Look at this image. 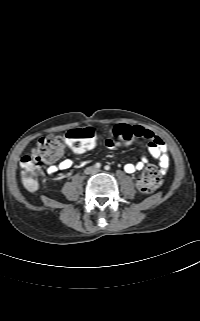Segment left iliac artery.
Instances as JSON below:
<instances>
[{
  "label": "left iliac artery",
  "mask_w": 200,
  "mask_h": 321,
  "mask_svg": "<svg viewBox=\"0 0 200 321\" xmlns=\"http://www.w3.org/2000/svg\"><path fill=\"white\" fill-rule=\"evenodd\" d=\"M104 169H105V170H109L110 167H109L108 165H106V166L104 167Z\"/></svg>",
  "instance_id": "obj_1"
}]
</instances>
